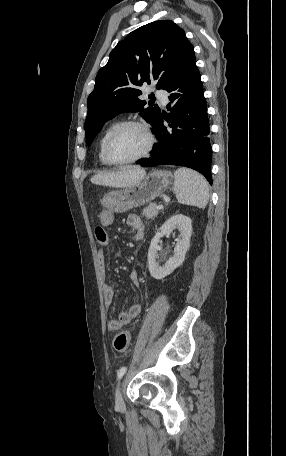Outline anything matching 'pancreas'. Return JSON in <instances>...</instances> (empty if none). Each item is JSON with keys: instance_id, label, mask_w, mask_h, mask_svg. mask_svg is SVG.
I'll use <instances>...</instances> for the list:
<instances>
[{"instance_id": "obj_1", "label": "pancreas", "mask_w": 286, "mask_h": 456, "mask_svg": "<svg viewBox=\"0 0 286 456\" xmlns=\"http://www.w3.org/2000/svg\"><path fill=\"white\" fill-rule=\"evenodd\" d=\"M156 203H150L147 207L143 209L142 215L145 216L147 219H153L158 215L159 209L156 208Z\"/></svg>"}]
</instances>
